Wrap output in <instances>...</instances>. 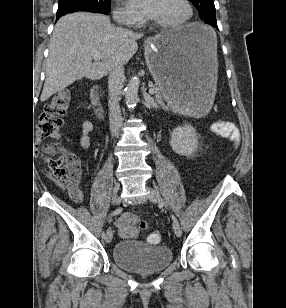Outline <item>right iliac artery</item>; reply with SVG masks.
Returning a JSON list of instances; mask_svg holds the SVG:
<instances>
[{"label": "right iliac artery", "mask_w": 286, "mask_h": 308, "mask_svg": "<svg viewBox=\"0 0 286 308\" xmlns=\"http://www.w3.org/2000/svg\"><path fill=\"white\" fill-rule=\"evenodd\" d=\"M120 212H123V207H117V209L115 211H113L111 214H109V216L106 219V222L107 221L109 222L111 220L112 216L117 215ZM102 237L105 239V237H106L105 232L102 233Z\"/></svg>", "instance_id": "right-iliac-artery-1"}]
</instances>
